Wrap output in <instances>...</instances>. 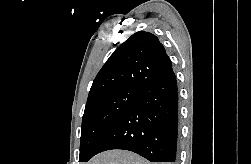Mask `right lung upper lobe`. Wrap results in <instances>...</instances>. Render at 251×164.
<instances>
[{"label": "right lung upper lobe", "instance_id": "cb5924a9", "mask_svg": "<svg viewBox=\"0 0 251 164\" xmlns=\"http://www.w3.org/2000/svg\"><path fill=\"white\" fill-rule=\"evenodd\" d=\"M172 69V63L158 38L140 31L122 43L93 81L88 100L123 88H141Z\"/></svg>", "mask_w": 251, "mask_h": 164}]
</instances>
